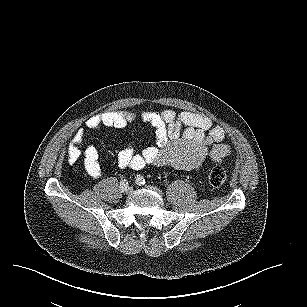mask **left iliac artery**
Segmentation results:
<instances>
[{
    "instance_id": "obj_1",
    "label": "left iliac artery",
    "mask_w": 307,
    "mask_h": 307,
    "mask_svg": "<svg viewBox=\"0 0 307 307\" xmlns=\"http://www.w3.org/2000/svg\"><path fill=\"white\" fill-rule=\"evenodd\" d=\"M137 183L140 184H145V179L143 178V176L138 175L136 178Z\"/></svg>"
}]
</instances>
